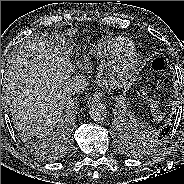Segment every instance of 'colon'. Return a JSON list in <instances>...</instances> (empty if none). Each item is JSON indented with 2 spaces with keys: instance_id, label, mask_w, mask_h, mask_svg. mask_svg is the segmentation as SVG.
<instances>
[{
  "instance_id": "colon-1",
  "label": "colon",
  "mask_w": 184,
  "mask_h": 184,
  "mask_svg": "<svg viewBox=\"0 0 184 184\" xmlns=\"http://www.w3.org/2000/svg\"><path fill=\"white\" fill-rule=\"evenodd\" d=\"M152 66H153L154 70L162 71L165 68L166 63H165V60L163 58L158 57V58H155L153 60Z\"/></svg>"
}]
</instances>
